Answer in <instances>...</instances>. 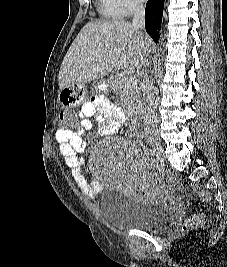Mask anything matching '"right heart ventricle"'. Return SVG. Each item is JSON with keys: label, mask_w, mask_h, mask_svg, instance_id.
Listing matches in <instances>:
<instances>
[{"label": "right heart ventricle", "mask_w": 227, "mask_h": 267, "mask_svg": "<svg viewBox=\"0 0 227 267\" xmlns=\"http://www.w3.org/2000/svg\"><path fill=\"white\" fill-rule=\"evenodd\" d=\"M98 10L106 19H118L122 16L114 0H98Z\"/></svg>", "instance_id": "obj_1"}]
</instances>
